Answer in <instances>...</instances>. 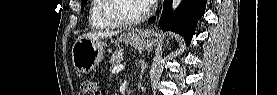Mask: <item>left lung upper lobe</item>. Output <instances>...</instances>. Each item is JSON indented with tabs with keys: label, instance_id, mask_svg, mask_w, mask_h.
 I'll return each instance as SVG.
<instances>
[{
	"label": "left lung upper lobe",
	"instance_id": "1",
	"mask_svg": "<svg viewBox=\"0 0 277 95\" xmlns=\"http://www.w3.org/2000/svg\"><path fill=\"white\" fill-rule=\"evenodd\" d=\"M86 2L87 0H82V4H81L82 8L85 6Z\"/></svg>",
	"mask_w": 277,
	"mask_h": 95
}]
</instances>
